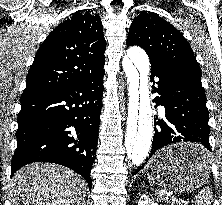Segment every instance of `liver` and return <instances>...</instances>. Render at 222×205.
Segmentation results:
<instances>
[{
    "label": "liver",
    "mask_w": 222,
    "mask_h": 205,
    "mask_svg": "<svg viewBox=\"0 0 222 205\" xmlns=\"http://www.w3.org/2000/svg\"><path fill=\"white\" fill-rule=\"evenodd\" d=\"M10 191L11 205H83L86 183L66 167L34 163L14 174Z\"/></svg>",
    "instance_id": "1"
}]
</instances>
